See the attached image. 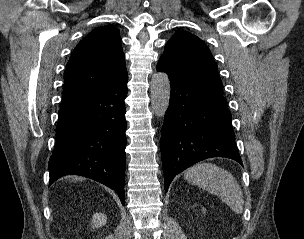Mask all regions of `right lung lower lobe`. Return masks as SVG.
Returning a JSON list of instances; mask_svg holds the SVG:
<instances>
[{"label":"right lung lower lobe","mask_w":304,"mask_h":239,"mask_svg":"<svg viewBox=\"0 0 304 239\" xmlns=\"http://www.w3.org/2000/svg\"><path fill=\"white\" fill-rule=\"evenodd\" d=\"M127 74L99 92L59 110L49 160L50 184L64 175L96 180L125 203Z\"/></svg>","instance_id":"1"}]
</instances>
